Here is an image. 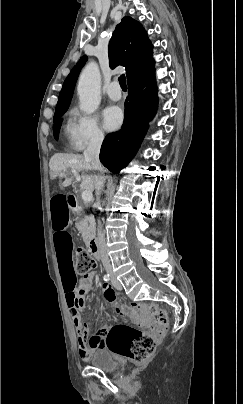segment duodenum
<instances>
[{"mask_svg": "<svg viewBox=\"0 0 243 404\" xmlns=\"http://www.w3.org/2000/svg\"><path fill=\"white\" fill-rule=\"evenodd\" d=\"M68 203H69V207L72 210H76L78 208V202L76 199V196L73 194H68ZM89 251L91 252V254L93 255V257L97 260H99L101 258V252L98 246V243L95 239H92L89 244Z\"/></svg>", "mask_w": 243, "mask_h": 404, "instance_id": "410a0bca", "label": "duodenum"}]
</instances>
